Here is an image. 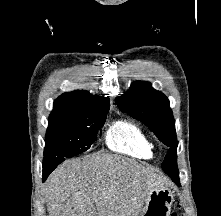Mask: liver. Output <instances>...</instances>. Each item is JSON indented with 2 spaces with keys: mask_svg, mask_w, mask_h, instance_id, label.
<instances>
[{
  "mask_svg": "<svg viewBox=\"0 0 221 216\" xmlns=\"http://www.w3.org/2000/svg\"><path fill=\"white\" fill-rule=\"evenodd\" d=\"M166 183L155 168L120 155L70 159L47 179L48 216H138L149 193Z\"/></svg>",
  "mask_w": 221,
  "mask_h": 216,
  "instance_id": "1",
  "label": "liver"
}]
</instances>
